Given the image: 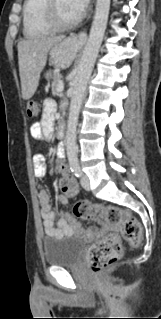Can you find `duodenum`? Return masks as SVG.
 <instances>
[{
	"label": "duodenum",
	"mask_w": 161,
	"mask_h": 319,
	"mask_svg": "<svg viewBox=\"0 0 161 319\" xmlns=\"http://www.w3.org/2000/svg\"><path fill=\"white\" fill-rule=\"evenodd\" d=\"M66 135V126L62 125L59 129V136L64 137Z\"/></svg>",
	"instance_id": "410a0bca"
}]
</instances>
